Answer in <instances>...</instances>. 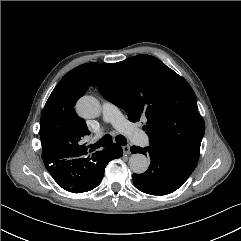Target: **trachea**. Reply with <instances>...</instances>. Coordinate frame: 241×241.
Returning a JSON list of instances; mask_svg holds the SVG:
<instances>
[{"mask_svg":"<svg viewBox=\"0 0 241 241\" xmlns=\"http://www.w3.org/2000/svg\"><path fill=\"white\" fill-rule=\"evenodd\" d=\"M116 142L119 145L125 146L127 144V140L123 135H118L115 138ZM112 143V137L109 134L104 135L98 142L91 145V149L95 150L97 148L109 146Z\"/></svg>","mask_w":241,"mask_h":241,"instance_id":"3493384b","label":"trachea"}]
</instances>
